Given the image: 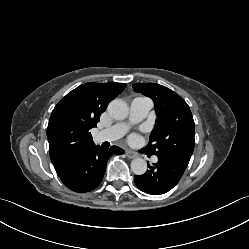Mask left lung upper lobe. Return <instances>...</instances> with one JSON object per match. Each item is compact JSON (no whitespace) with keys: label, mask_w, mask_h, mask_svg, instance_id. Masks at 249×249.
<instances>
[{"label":"left lung upper lobe","mask_w":249,"mask_h":249,"mask_svg":"<svg viewBox=\"0 0 249 249\" xmlns=\"http://www.w3.org/2000/svg\"><path fill=\"white\" fill-rule=\"evenodd\" d=\"M134 91L154 101L157 119L146 152L189 163L194 150L195 124L188 104L169 88L155 83H137Z\"/></svg>","instance_id":"1"}]
</instances>
